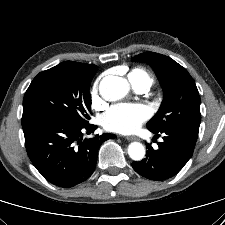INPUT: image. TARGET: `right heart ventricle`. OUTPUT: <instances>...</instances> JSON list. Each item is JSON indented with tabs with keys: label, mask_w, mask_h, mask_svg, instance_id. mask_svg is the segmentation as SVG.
I'll use <instances>...</instances> for the list:
<instances>
[{
	"label": "right heart ventricle",
	"mask_w": 225,
	"mask_h": 225,
	"mask_svg": "<svg viewBox=\"0 0 225 225\" xmlns=\"http://www.w3.org/2000/svg\"><path fill=\"white\" fill-rule=\"evenodd\" d=\"M128 78L133 86L146 85L150 87L153 83V78L151 77V75L142 68H134L128 74Z\"/></svg>",
	"instance_id": "e07e8e85"
}]
</instances>
